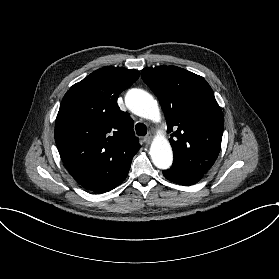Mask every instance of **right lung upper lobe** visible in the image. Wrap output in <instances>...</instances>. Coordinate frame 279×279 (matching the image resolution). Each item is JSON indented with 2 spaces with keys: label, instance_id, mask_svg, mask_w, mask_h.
Here are the masks:
<instances>
[{
  "label": "right lung upper lobe",
  "instance_id": "1",
  "mask_svg": "<svg viewBox=\"0 0 279 279\" xmlns=\"http://www.w3.org/2000/svg\"><path fill=\"white\" fill-rule=\"evenodd\" d=\"M139 72L105 67L74 84L55 121V142L72 177L85 189L104 193L120 185L140 148L133 120L117 104Z\"/></svg>",
  "mask_w": 279,
  "mask_h": 279
}]
</instances>
